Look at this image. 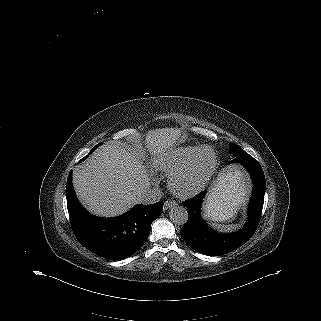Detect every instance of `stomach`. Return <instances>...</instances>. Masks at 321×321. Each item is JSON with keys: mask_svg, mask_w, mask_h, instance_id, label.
I'll use <instances>...</instances> for the list:
<instances>
[{"mask_svg": "<svg viewBox=\"0 0 321 321\" xmlns=\"http://www.w3.org/2000/svg\"><path fill=\"white\" fill-rule=\"evenodd\" d=\"M247 189L243 173L236 167L230 168L219 177L216 187L209 195L208 203L218 195L225 194L222 201L229 199L230 203H234L233 216L244 201Z\"/></svg>", "mask_w": 321, "mask_h": 321, "instance_id": "1", "label": "stomach"}]
</instances>
